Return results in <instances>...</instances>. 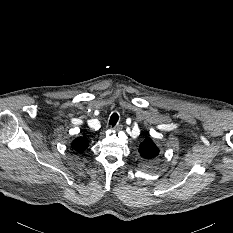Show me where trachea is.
<instances>
[{
  "label": "trachea",
  "mask_w": 233,
  "mask_h": 233,
  "mask_svg": "<svg viewBox=\"0 0 233 233\" xmlns=\"http://www.w3.org/2000/svg\"><path fill=\"white\" fill-rule=\"evenodd\" d=\"M118 119H119L118 114H117L116 112L113 113V114L111 115V117H110L109 124H110L112 127H114V126L117 124Z\"/></svg>",
  "instance_id": "1"
}]
</instances>
